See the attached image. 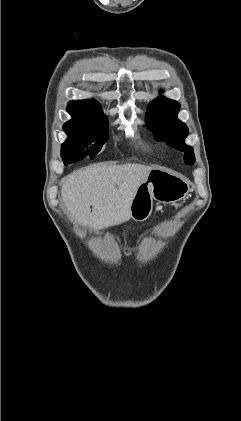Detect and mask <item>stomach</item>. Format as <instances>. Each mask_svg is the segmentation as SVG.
<instances>
[{"label": "stomach", "instance_id": "stomach-1", "mask_svg": "<svg viewBox=\"0 0 241 421\" xmlns=\"http://www.w3.org/2000/svg\"><path fill=\"white\" fill-rule=\"evenodd\" d=\"M189 191V182L182 176L163 168H154L137 188L130 205V217L143 222L152 213L153 200L175 204L184 199Z\"/></svg>", "mask_w": 241, "mask_h": 421}]
</instances>
